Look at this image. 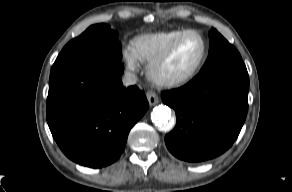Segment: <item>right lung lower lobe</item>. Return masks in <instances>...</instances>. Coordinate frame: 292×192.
<instances>
[{
	"label": "right lung lower lobe",
	"mask_w": 292,
	"mask_h": 192,
	"mask_svg": "<svg viewBox=\"0 0 292 192\" xmlns=\"http://www.w3.org/2000/svg\"><path fill=\"white\" fill-rule=\"evenodd\" d=\"M120 59L104 52L60 54L52 66L47 122L72 161L100 168L122 154L130 129L149 104L136 86L123 87Z\"/></svg>",
	"instance_id": "98d812e1"
}]
</instances>
